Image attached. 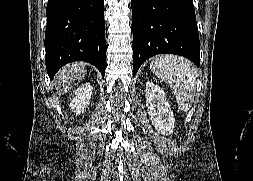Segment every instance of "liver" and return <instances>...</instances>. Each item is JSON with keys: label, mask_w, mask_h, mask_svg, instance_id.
Listing matches in <instances>:
<instances>
[{"label": "liver", "mask_w": 253, "mask_h": 181, "mask_svg": "<svg viewBox=\"0 0 253 181\" xmlns=\"http://www.w3.org/2000/svg\"><path fill=\"white\" fill-rule=\"evenodd\" d=\"M87 73L84 63L69 64L61 69L56 76V83L62 93L69 91L75 82L82 80Z\"/></svg>", "instance_id": "6515ba94"}]
</instances>
